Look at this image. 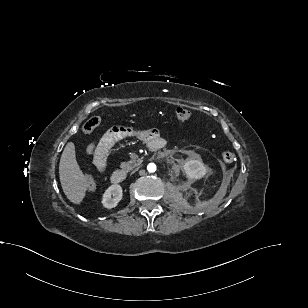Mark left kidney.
<instances>
[{"label":"left kidney","instance_id":"obj_1","mask_svg":"<svg viewBox=\"0 0 308 308\" xmlns=\"http://www.w3.org/2000/svg\"><path fill=\"white\" fill-rule=\"evenodd\" d=\"M183 170L189 180H198L205 176L206 167L202 161L189 159L183 164Z\"/></svg>","mask_w":308,"mask_h":308}]
</instances>
